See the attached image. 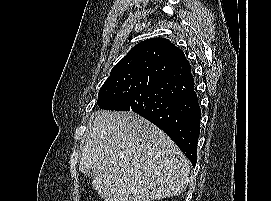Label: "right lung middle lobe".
Listing matches in <instances>:
<instances>
[{
	"mask_svg": "<svg viewBox=\"0 0 271 201\" xmlns=\"http://www.w3.org/2000/svg\"><path fill=\"white\" fill-rule=\"evenodd\" d=\"M151 79L149 69L133 70L110 76L100 88L97 104L106 110H119L121 102L142 93Z\"/></svg>",
	"mask_w": 271,
	"mask_h": 201,
	"instance_id": "1",
	"label": "right lung middle lobe"
}]
</instances>
